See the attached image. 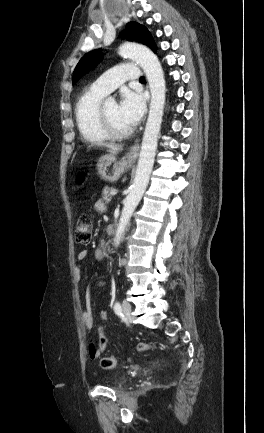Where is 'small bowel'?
<instances>
[{"label":"small bowel","mask_w":264,"mask_h":433,"mask_svg":"<svg viewBox=\"0 0 264 433\" xmlns=\"http://www.w3.org/2000/svg\"><path fill=\"white\" fill-rule=\"evenodd\" d=\"M94 209L98 212H103V211H105L106 207L102 201L98 200L94 203ZM87 255H88V252L86 250H82V251L78 252L77 258L79 260H84L87 257ZM76 275H77V278L80 280L81 279V272L79 269L77 270ZM105 285H106L105 279L102 277H99L95 281H93L88 286V288L86 290V293L84 296V301H83V307L81 310V319H82L84 326L88 330H91L94 327V317H93L92 310H91V291L94 287H103ZM101 318L103 320L107 319V315H106L105 311H103L101 313ZM101 353H102V351H101L99 345H97L95 343L89 344L88 355L92 360L99 358Z\"/></svg>","instance_id":"1"}]
</instances>
